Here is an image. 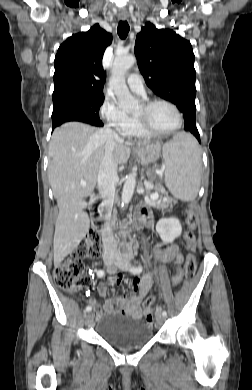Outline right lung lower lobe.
<instances>
[{
    "instance_id": "right-lung-lower-lobe-1",
    "label": "right lung lower lobe",
    "mask_w": 252,
    "mask_h": 390,
    "mask_svg": "<svg viewBox=\"0 0 252 390\" xmlns=\"http://www.w3.org/2000/svg\"><path fill=\"white\" fill-rule=\"evenodd\" d=\"M69 121H80V122H85V123H88V124H91V125H94V126H103V125L92 124V123H90V122H88V121H85V120H79V119H71V118H69V119H62V120H58V121H56V122H53L52 130H53L55 127L61 125L62 123L69 122Z\"/></svg>"
}]
</instances>
